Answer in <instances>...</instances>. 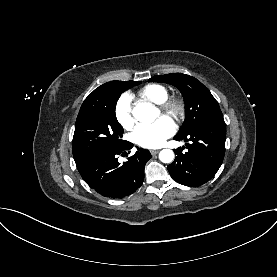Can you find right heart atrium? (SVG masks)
<instances>
[{
  "mask_svg": "<svg viewBox=\"0 0 277 277\" xmlns=\"http://www.w3.org/2000/svg\"><path fill=\"white\" fill-rule=\"evenodd\" d=\"M115 116L122 127L129 129L134 124L132 113L131 97L128 94H123L117 101L115 106Z\"/></svg>",
  "mask_w": 277,
  "mask_h": 277,
  "instance_id": "right-heart-atrium-1",
  "label": "right heart atrium"
}]
</instances>
